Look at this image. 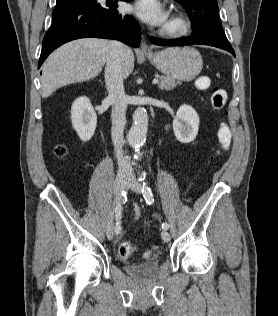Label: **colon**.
I'll list each match as a JSON object with an SVG mask.
<instances>
[{"mask_svg":"<svg viewBox=\"0 0 278 316\" xmlns=\"http://www.w3.org/2000/svg\"><path fill=\"white\" fill-rule=\"evenodd\" d=\"M209 80L207 78H200L198 85L200 87L207 86ZM211 105L214 109H223L227 102V91L224 88H214L211 93ZM218 138L222 150H227L231 142V132L226 124H222L218 131ZM55 154L62 157L66 154V147L58 145L55 148ZM136 250V247L130 241H123L118 247L119 255L123 258L130 257Z\"/></svg>","mask_w":278,"mask_h":316,"instance_id":"colon-1","label":"colon"}]
</instances>
